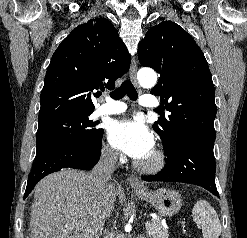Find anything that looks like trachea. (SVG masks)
Listing matches in <instances>:
<instances>
[{"mask_svg":"<svg viewBox=\"0 0 247 238\" xmlns=\"http://www.w3.org/2000/svg\"><path fill=\"white\" fill-rule=\"evenodd\" d=\"M125 94L133 101H136L138 98L136 89L129 79H126L117 90L111 92L110 96L115 100H119Z\"/></svg>","mask_w":247,"mask_h":238,"instance_id":"trachea-1","label":"trachea"}]
</instances>
